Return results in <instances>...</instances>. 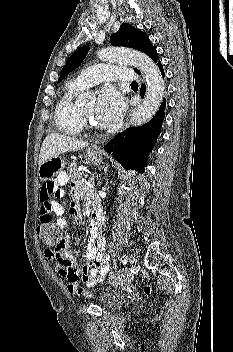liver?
Instances as JSON below:
<instances>
[{
    "mask_svg": "<svg viewBox=\"0 0 233 352\" xmlns=\"http://www.w3.org/2000/svg\"><path fill=\"white\" fill-rule=\"evenodd\" d=\"M87 146L88 143L85 141L57 133H51L46 136L42 143L38 165L40 166L51 157H57L65 152L78 151Z\"/></svg>",
    "mask_w": 233,
    "mask_h": 352,
    "instance_id": "liver-1",
    "label": "liver"
}]
</instances>
